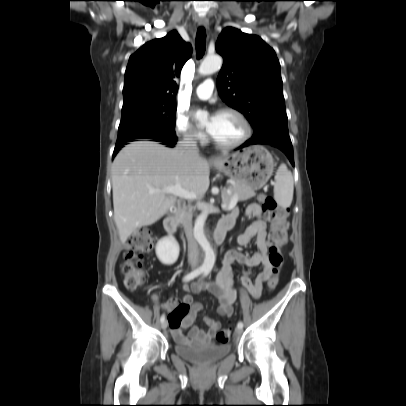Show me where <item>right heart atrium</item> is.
I'll return each mask as SVG.
<instances>
[{
	"label": "right heart atrium",
	"instance_id": "1",
	"mask_svg": "<svg viewBox=\"0 0 406 406\" xmlns=\"http://www.w3.org/2000/svg\"><path fill=\"white\" fill-rule=\"evenodd\" d=\"M175 132L183 140L191 143L204 142L206 139L202 131L194 128L186 115L178 113L175 117Z\"/></svg>",
	"mask_w": 406,
	"mask_h": 406
}]
</instances>
